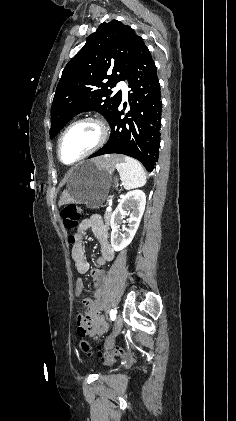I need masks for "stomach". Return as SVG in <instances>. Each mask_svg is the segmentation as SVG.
<instances>
[{"label": "stomach", "mask_w": 236, "mask_h": 421, "mask_svg": "<svg viewBox=\"0 0 236 421\" xmlns=\"http://www.w3.org/2000/svg\"><path fill=\"white\" fill-rule=\"evenodd\" d=\"M116 182L114 166H103L94 160H81L71 168L67 188L72 202L102 206Z\"/></svg>", "instance_id": "0dacf381"}]
</instances>
